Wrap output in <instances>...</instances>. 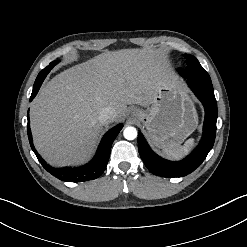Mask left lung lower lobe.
<instances>
[{
    "label": "left lung lower lobe",
    "instance_id": "left-lung-lower-lobe-1",
    "mask_svg": "<svg viewBox=\"0 0 247 247\" xmlns=\"http://www.w3.org/2000/svg\"><path fill=\"white\" fill-rule=\"evenodd\" d=\"M184 69H179L182 75ZM188 86L202 102L205 109L203 135L194 151L181 161L172 162L155 154L143 135L138 134V151L148 170L161 177H183L192 173L205 160L212 149L216 136L217 102L212 82L188 79Z\"/></svg>",
    "mask_w": 247,
    "mask_h": 247
}]
</instances>
